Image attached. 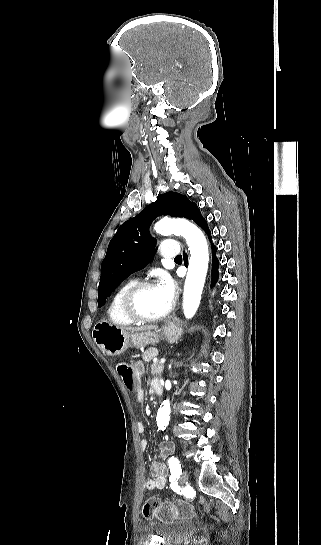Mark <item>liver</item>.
Returning a JSON list of instances; mask_svg holds the SVG:
<instances>
[{
    "label": "liver",
    "mask_w": 321,
    "mask_h": 545,
    "mask_svg": "<svg viewBox=\"0 0 321 545\" xmlns=\"http://www.w3.org/2000/svg\"><path fill=\"white\" fill-rule=\"evenodd\" d=\"M123 333L127 331H152V329H158L157 325H144V327H119Z\"/></svg>",
    "instance_id": "6515ba94"
}]
</instances>
